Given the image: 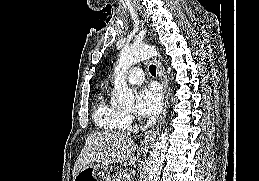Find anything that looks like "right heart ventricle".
<instances>
[{"instance_id": "obj_1", "label": "right heart ventricle", "mask_w": 259, "mask_h": 181, "mask_svg": "<svg viewBox=\"0 0 259 181\" xmlns=\"http://www.w3.org/2000/svg\"><path fill=\"white\" fill-rule=\"evenodd\" d=\"M107 91H100L93 110L95 124L102 130L122 132L128 128L126 115L123 111L107 100Z\"/></svg>"}]
</instances>
